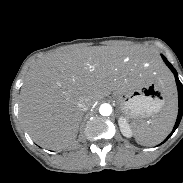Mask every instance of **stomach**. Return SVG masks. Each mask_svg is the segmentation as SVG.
<instances>
[{
  "mask_svg": "<svg viewBox=\"0 0 183 183\" xmlns=\"http://www.w3.org/2000/svg\"><path fill=\"white\" fill-rule=\"evenodd\" d=\"M133 75V82L118 96L122 111L131 119L146 118L161 111L168 91L157 80L153 66L137 65Z\"/></svg>",
  "mask_w": 183,
  "mask_h": 183,
  "instance_id": "stomach-1",
  "label": "stomach"
}]
</instances>
